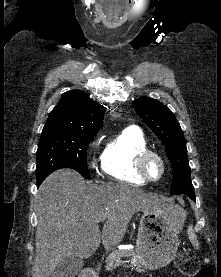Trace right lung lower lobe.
I'll return each mask as SVG.
<instances>
[{"label": "right lung lower lobe", "mask_w": 221, "mask_h": 277, "mask_svg": "<svg viewBox=\"0 0 221 277\" xmlns=\"http://www.w3.org/2000/svg\"><path fill=\"white\" fill-rule=\"evenodd\" d=\"M41 182H42V181L37 182V186H39V185L41 184Z\"/></svg>", "instance_id": "obj_1"}]
</instances>
